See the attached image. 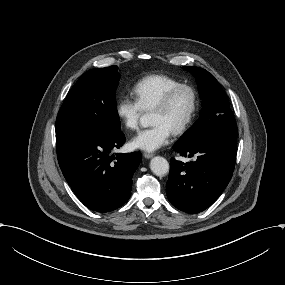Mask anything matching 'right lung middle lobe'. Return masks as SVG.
<instances>
[{"mask_svg": "<svg viewBox=\"0 0 285 285\" xmlns=\"http://www.w3.org/2000/svg\"><path fill=\"white\" fill-rule=\"evenodd\" d=\"M118 67L96 68L84 73L69 91L56 119V134L96 132L117 134L116 109Z\"/></svg>", "mask_w": 285, "mask_h": 285, "instance_id": "dd1d6c3e", "label": "right lung middle lobe"}]
</instances>
